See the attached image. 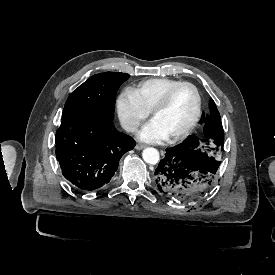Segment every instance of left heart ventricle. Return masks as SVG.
Here are the masks:
<instances>
[{
    "mask_svg": "<svg viewBox=\"0 0 275 275\" xmlns=\"http://www.w3.org/2000/svg\"><path fill=\"white\" fill-rule=\"evenodd\" d=\"M195 110L194 90L188 85H182L173 92L167 106L153 120L169 136L185 128L192 120Z\"/></svg>",
    "mask_w": 275,
    "mask_h": 275,
    "instance_id": "obj_1",
    "label": "left heart ventricle"
}]
</instances>
